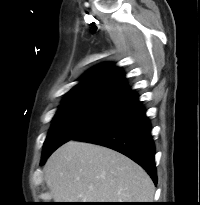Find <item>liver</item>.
Returning a JSON list of instances; mask_svg holds the SVG:
<instances>
[{
  "label": "liver",
  "mask_w": 200,
  "mask_h": 205,
  "mask_svg": "<svg viewBox=\"0 0 200 205\" xmlns=\"http://www.w3.org/2000/svg\"><path fill=\"white\" fill-rule=\"evenodd\" d=\"M56 202H152L149 175L126 156L106 147L70 141L44 166Z\"/></svg>",
  "instance_id": "1"
}]
</instances>
